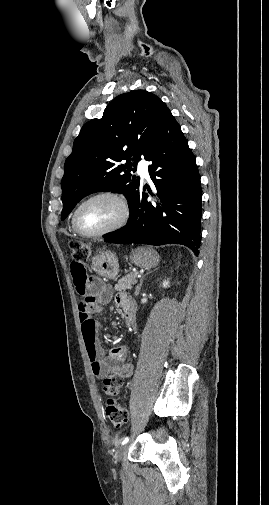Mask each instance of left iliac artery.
Segmentation results:
<instances>
[{
  "instance_id": "left-iliac-artery-1",
  "label": "left iliac artery",
  "mask_w": 269,
  "mask_h": 505,
  "mask_svg": "<svg viewBox=\"0 0 269 505\" xmlns=\"http://www.w3.org/2000/svg\"><path fill=\"white\" fill-rule=\"evenodd\" d=\"M128 441H129V437H125V438L122 440L121 445H125Z\"/></svg>"
}]
</instances>
